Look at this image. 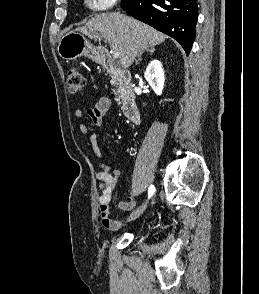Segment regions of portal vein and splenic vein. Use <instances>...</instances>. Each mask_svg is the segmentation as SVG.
Wrapping results in <instances>:
<instances>
[{
	"label": "portal vein and splenic vein",
	"instance_id": "portal-vein-and-splenic-vein-1",
	"mask_svg": "<svg viewBox=\"0 0 259 294\" xmlns=\"http://www.w3.org/2000/svg\"><path fill=\"white\" fill-rule=\"evenodd\" d=\"M120 53L116 48H112V56L114 59H117L119 57Z\"/></svg>",
	"mask_w": 259,
	"mask_h": 294
}]
</instances>
